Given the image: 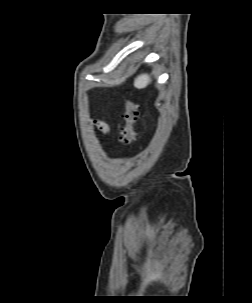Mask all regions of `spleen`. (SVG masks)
<instances>
[{"label":"spleen","instance_id":"3e777b00","mask_svg":"<svg viewBox=\"0 0 252 303\" xmlns=\"http://www.w3.org/2000/svg\"><path fill=\"white\" fill-rule=\"evenodd\" d=\"M150 81L151 79L148 74H141L134 80V86L137 89H143L150 83Z\"/></svg>","mask_w":252,"mask_h":303}]
</instances>
